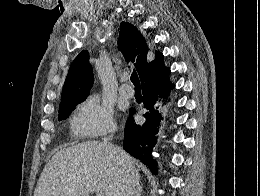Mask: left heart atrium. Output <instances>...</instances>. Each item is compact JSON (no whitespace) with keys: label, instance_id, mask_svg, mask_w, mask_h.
Returning a JSON list of instances; mask_svg holds the SVG:
<instances>
[{"label":"left heart atrium","instance_id":"1","mask_svg":"<svg viewBox=\"0 0 260 196\" xmlns=\"http://www.w3.org/2000/svg\"><path fill=\"white\" fill-rule=\"evenodd\" d=\"M124 190H107V192H123Z\"/></svg>","mask_w":260,"mask_h":196}]
</instances>
